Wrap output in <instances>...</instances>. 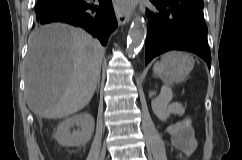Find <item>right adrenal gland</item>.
<instances>
[{
    "label": "right adrenal gland",
    "instance_id": "2a0ac1e0",
    "mask_svg": "<svg viewBox=\"0 0 242 160\" xmlns=\"http://www.w3.org/2000/svg\"><path fill=\"white\" fill-rule=\"evenodd\" d=\"M100 85V80L98 81V86Z\"/></svg>",
    "mask_w": 242,
    "mask_h": 160
}]
</instances>
